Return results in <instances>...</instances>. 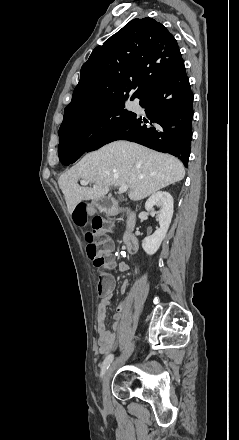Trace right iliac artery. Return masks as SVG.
I'll use <instances>...</instances> for the list:
<instances>
[{
	"label": "right iliac artery",
	"instance_id": "obj_1",
	"mask_svg": "<svg viewBox=\"0 0 239 440\" xmlns=\"http://www.w3.org/2000/svg\"><path fill=\"white\" fill-rule=\"evenodd\" d=\"M114 359V355L113 354H109L105 360L103 361L102 364V369H101V377L104 376L105 372L107 371V369L109 368L110 364L112 363Z\"/></svg>",
	"mask_w": 239,
	"mask_h": 440
}]
</instances>
